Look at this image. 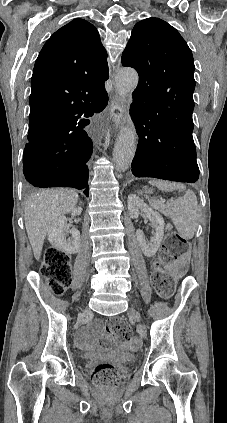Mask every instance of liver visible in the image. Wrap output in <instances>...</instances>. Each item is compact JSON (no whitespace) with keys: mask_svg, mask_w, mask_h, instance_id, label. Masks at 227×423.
I'll return each instance as SVG.
<instances>
[{"mask_svg":"<svg viewBox=\"0 0 227 423\" xmlns=\"http://www.w3.org/2000/svg\"><path fill=\"white\" fill-rule=\"evenodd\" d=\"M78 194L73 190H42L26 202L24 221L35 259H40L43 243L59 215L74 210Z\"/></svg>","mask_w":227,"mask_h":423,"instance_id":"1","label":"liver"}]
</instances>
